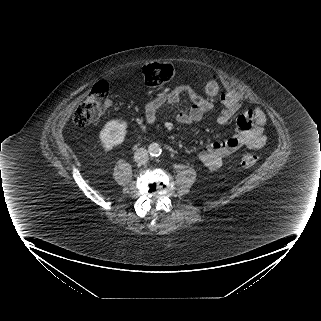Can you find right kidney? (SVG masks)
<instances>
[{
    "label": "right kidney",
    "mask_w": 321,
    "mask_h": 321,
    "mask_svg": "<svg viewBox=\"0 0 321 321\" xmlns=\"http://www.w3.org/2000/svg\"><path fill=\"white\" fill-rule=\"evenodd\" d=\"M127 123L125 121H108L100 131L99 138L105 151H110L118 144H121L127 133Z\"/></svg>",
    "instance_id": "1"
}]
</instances>
